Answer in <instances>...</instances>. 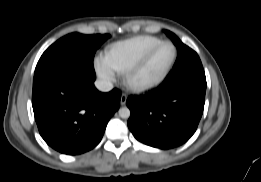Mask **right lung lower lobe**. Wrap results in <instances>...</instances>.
<instances>
[{
	"mask_svg": "<svg viewBox=\"0 0 261 182\" xmlns=\"http://www.w3.org/2000/svg\"><path fill=\"white\" fill-rule=\"evenodd\" d=\"M95 71L74 56L35 69L32 106L40 135L56 151L76 155L94 148L119 109L121 93L99 92Z\"/></svg>",
	"mask_w": 261,
	"mask_h": 182,
	"instance_id": "obj_1",
	"label": "right lung lower lobe"
}]
</instances>
